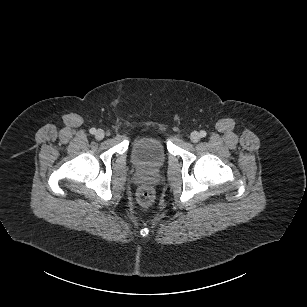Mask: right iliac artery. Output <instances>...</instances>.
Segmentation results:
<instances>
[{
    "instance_id": "right-iliac-artery-1",
    "label": "right iliac artery",
    "mask_w": 307,
    "mask_h": 307,
    "mask_svg": "<svg viewBox=\"0 0 307 307\" xmlns=\"http://www.w3.org/2000/svg\"><path fill=\"white\" fill-rule=\"evenodd\" d=\"M90 133H91V134H95V133H96V129H95V128H91V129H90Z\"/></svg>"
}]
</instances>
